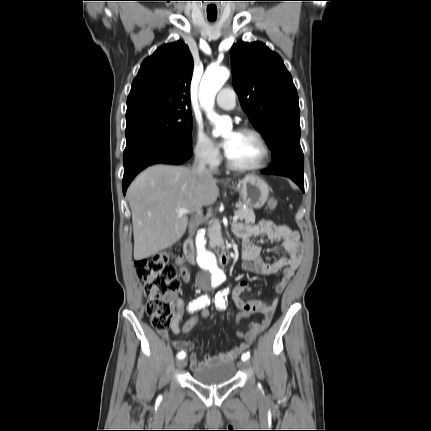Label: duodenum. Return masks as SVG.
<instances>
[{
  "label": "duodenum",
  "instance_id": "1",
  "mask_svg": "<svg viewBox=\"0 0 431 431\" xmlns=\"http://www.w3.org/2000/svg\"><path fill=\"white\" fill-rule=\"evenodd\" d=\"M184 256L189 262H193L194 260V246L191 239H187L184 243ZM217 257L220 265L226 266L229 261V253L225 246H221L217 251Z\"/></svg>",
  "mask_w": 431,
  "mask_h": 431
}]
</instances>
